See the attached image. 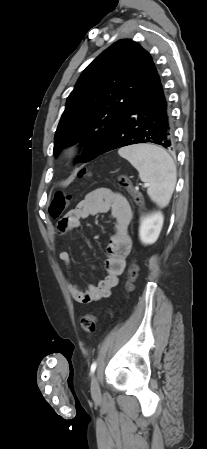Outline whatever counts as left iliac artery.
<instances>
[{"mask_svg":"<svg viewBox=\"0 0 207 449\" xmlns=\"http://www.w3.org/2000/svg\"><path fill=\"white\" fill-rule=\"evenodd\" d=\"M96 367H97V363L94 361V362L91 364V367H90L91 373H94V372H95Z\"/></svg>","mask_w":207,"mask_h":449,"instance_id":"obj_1","label":"left iliac artery"}]
</instances>
